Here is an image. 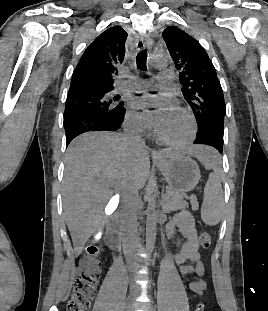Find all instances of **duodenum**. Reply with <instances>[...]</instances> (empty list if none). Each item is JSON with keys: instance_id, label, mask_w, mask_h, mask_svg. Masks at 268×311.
<instances>
[{"instance_id": "410a0bca", "label": "duodenum", "mask_w": 268, "mask_h": 311, "mask_svg": "<svg viewBox=\"0 0 268 311\" xmlns=\"http://www.w3.org/2000/svg\"><path fill=\"white\" fill-rule=\"evenodd\" d=\"M106 230L110 245L114 249H119L122 244V238L116 217H111L108 220Z\"/></svg>"}]
</instances>
